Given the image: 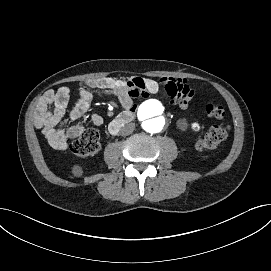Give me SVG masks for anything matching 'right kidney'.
<instances>
[{
  "label": "right kidney",
  "mask_w": 271,
  "mask_h": 271,
  "mask_svg": "<svg viewBox=\"0 0 271 271\" xmlns=\"http://www.w3.org/2000/svg\"><path fill=\"white\" fill-rule=\"evenodd\" d=\"M80 172H81V170H80L79 168H76V169H75V174H76V175L80 174Z\"/></svg>",
  "instance_id": "obj_1"
}]
</instances>
